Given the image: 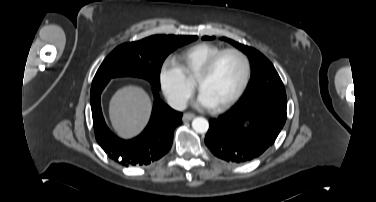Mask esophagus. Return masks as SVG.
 <instances>
[{
  "mask_svg": "<svg viewBox=\"0 0 376 202\" xmlns=\"http://www.w3.org/2000/svg\"><path fill=\"white\" fill-rule=\"evenodd\" d=\"M195 117L193 113H185L183 115V121H190Z\"/></svg>",
  "mask_w": 376,
  "mask_h": 202,
  "instance_id": "34e87169",
  "label": "esophagus"
}]
</instances>
